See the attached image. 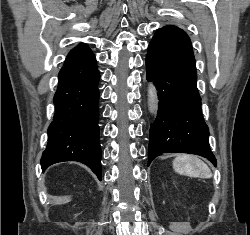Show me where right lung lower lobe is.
I'll list each match as a JSON object with an SVG mask.
<instances>
[{
	"label": "right lung lower lobe",
	"instance_id": "1",
	"mask_svg": "<svg viewBox=\"0 0 250 235\" xmlns=\"http://www.w3.org/2000/svg\"><path fill=\"white\" fill-rule=\"evenodd\" d=\"M99 79L95 56L86 45L69 52L59 71L53 98L55 114L41 158L43 171L58 162L78 161L91 168L101 180Z\"/></svg>",
	"mask_w": 250,
	"mask_h": 235
}]
</instances>
